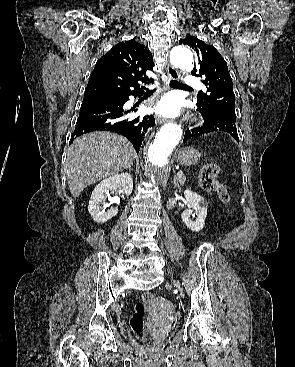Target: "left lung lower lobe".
Returning <instances> with one entry per match:
<instances>
[{"instance_id": "obj_1", "label": "left lung lower lobe", "mask_w": 295, "mask_h": 367, "mask_svg": "<svg viewBox=\"0 0 295 367\" xmlns=\"http://www.w3.org/2000/svg\"><path fill=\"white\" fill-rule=\"evenodd\" d=\"M198 110L204 119L203 125L194 128L191 131H186L184 141L207 133L223 131L233 136L235 140L239 142L235 124L236 115L225 111L208 113L200 108H198Z\"/></svg>"}]
</instances>
